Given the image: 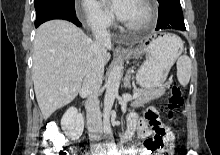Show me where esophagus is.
<instances>
[{
	"label": "esophagus",
	"instance_id": "esophagus-1",
	"mask_svg": "<svg viewBox=\"0 0 220 155\" xmlns=\"http://www.w3.org/2000/svg\"><path fill=\"white\" fill-rule=\"evenodd\" d=\"M114 51L116 53H124V52H126V50L123 47H121V46H117Z\"/></svg>",
	"mask_w": 220,
	"mask_h": 155
}]
</instances>
